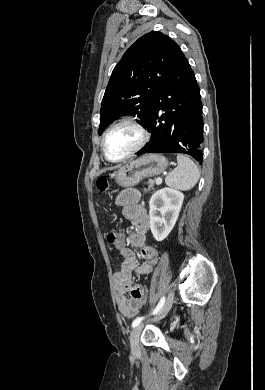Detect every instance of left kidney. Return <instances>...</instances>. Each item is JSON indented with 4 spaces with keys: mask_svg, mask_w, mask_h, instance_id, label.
<instances>
[{
    "mask_svg": "<svg viewBox=\"0 0 265 390\" xmlns=\"http://www.w3.org/2000/svg\"><path fill=\"white\" fill-rule=\"evenodd\" d=\"M184 194L173 188L156 191L149 201L150 229L156 241H163L172 231L183 204Z\"/></svg>",
    "mask_w": 265,
    "mask_h": 390,
    "instance_id": "left-kidney-1",
    "label": "left kidney"
}]
</instances>
